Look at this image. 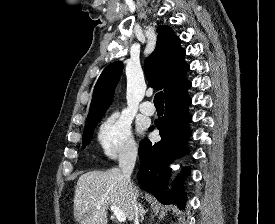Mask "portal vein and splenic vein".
<instances>
[{
  "mask_svg": "<svg viewBox=\"0 0 275 224\" xmlns=\"http://www.w3.org/2000/svg\"><path fill=\"white\" fill-rule=\"evenodd\" d=\"M101 203L98 202L97 203V207H100ZM110 209L113 212V214L115 215L116 219L120 222L123 223L126 221V216L124 215V213L117 207L110 205Z\"/></svg>",
  "mask_w": 275,
  "mask_h": 224,
  "instance_id": "obj_1",
  "label": "portal vein and splenic vein"
}]
</instances>
